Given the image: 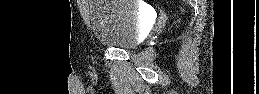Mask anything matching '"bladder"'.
<instances>
[{
    "instance_id": "31cf9c89",
    "label": "bladder",
    "mask_w": 259,
    "mask_h": 94,
    "mask_svg": "<svg viewBox=\"0 0 259 94\" xmlns=\"http://www.w3.org/2000/svg\"><path fill=\"white\" fill-rule=\"evenodd\" d=\"M89 21L100 44L119 49L138 45L145 27L141 7L130 0L90 1Z\"/></svg>"
}]
</instances>
